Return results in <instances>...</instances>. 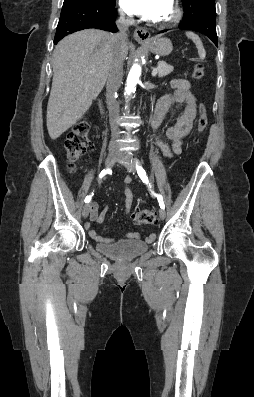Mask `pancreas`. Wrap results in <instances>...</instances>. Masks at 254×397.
<instances>
[{
    "instance_id": "obj_1",
    "label": "pancreas",
    "mask_w": 254,
    "mask_h": 397,
    "mask_svg": "<svg viewBox=\"0 0 254 397\" xmlns=\"http://www.w3.org/2000/svg\"><path fill=\"white\" fill-rule=\"evenodd\" d=\"M174 70L172 65L165 63L164 61H160L157 64V74L159 78H162L168 74H170Z\"/></svg>"
}]
</instances>
